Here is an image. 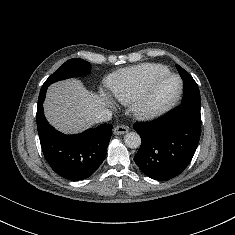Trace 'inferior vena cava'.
Wrapping results in <instances>:
<instances>
[{"instance_id": "1", "label": "inferior vena cava", "mask_w": 235, "mask_h": 235, "mask_svg": "<svg viewBox=\"0 0 235 235\" xmlns=\"http://www.w3.org/2000/svg\"><path fill=\"white\" fill-rule=\"evenodd\" d=\"M112 118V112L108 109H103L101 110L97 115H96V122H107L111 120Z\"/></svg>"}]
</instances>
